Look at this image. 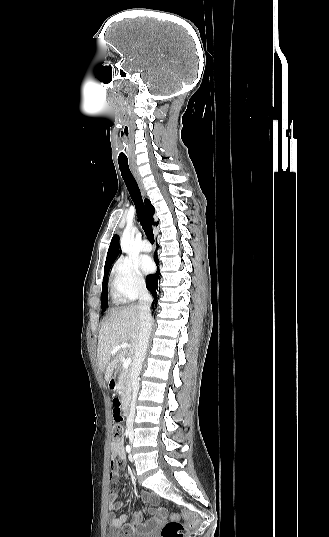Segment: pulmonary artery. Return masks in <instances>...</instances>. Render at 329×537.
Segmentation results:
<instances>
[{
    "label": "pulmonary artery",
    "instance_id": "pulmonary-artery-1",
    "mask_svg": "<svg viewBox=\"0 0 329 537\" xmlns=\"http://www.w3.org/2000/svg\"><path fill=\"white\" fill-rule=\"evenodd\" d=\"M140 250L142 252H150L151 251V244L147 240H143L140 244Z\"/></svg>",
    "mask_w": 329,
    "mask_h": 537
}]
</instances>
